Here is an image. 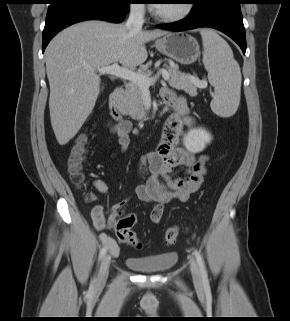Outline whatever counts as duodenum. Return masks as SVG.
Returning a JSON list of instances; mask_svg holds the SVG:
<instances>
[{"instance_id":"410a0bca","label":"duodenum","mask_w":290,"mask_h":321,"mask_svg":"<svg viewBox=\"0 0 290 321\" xmlns=\"http://www.w3.org/2000/svg\"><path fill=\"white\" fill-rule=\"evenodd\" d=\"M124 95L122 86H117L109 95V108L111 115L118 120H125L126 113L122 109L121 102ZM180 104L173 98L164 99V109L178 111Z\"/></svg>"}]
</instances>
